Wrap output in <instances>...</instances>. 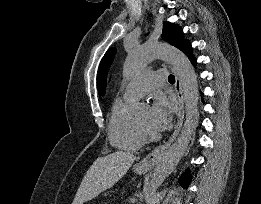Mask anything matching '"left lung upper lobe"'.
I'll list each match as a JSON object with an SVG mask.
<instances>
[{
  "mask_svg": "<svg viewBox=\"0 0 261 204\" xmlns=\"http://www.w3.org/2000/svg\"><path fill=\"white\" fill-rule=\"evenodd\" d=\"M162 37L166 42L180 50H182L188 43L187 40L183 39L182 30L177 25L169 22H164L163 24ZM115 53V48L108 49L100 62L97 73L98 93L100 96L105 94L106 76Z\"/></svg>",
  "mask_w": 261,
  "mask_h": 204,
  "instance_id": "obj_1",
  "label": "left lung upper lobe"
}]
</instances>
